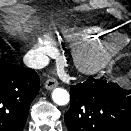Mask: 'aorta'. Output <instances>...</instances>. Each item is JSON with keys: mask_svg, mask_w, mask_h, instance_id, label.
Here are the masks:
<instances>
[{"mask_svg": "<svg viewBox=\"0 0 131 131\" xmlns=\"http://www.w3.org/2000/svg\"><path fill=\"white\" fill-rule=\"evenodd\" d=\"M52 99L58 105H66L69 102V93L62 88H55L52 92Z\"/></svg>", "mask_w": 131, "mask_h": 131, "instance_id": "762f6f07", "label": "aorta"}]
</instances>
